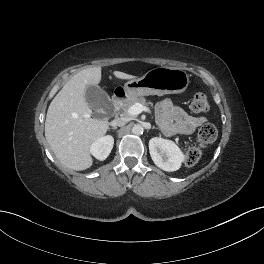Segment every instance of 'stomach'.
<instances>
[{
	"label": "stomach",
	"mask_w": 264,
	"mask_h": 264,
	"mask_svg": "<svg viewBox=\"0 0 264 264\" xmlns=\"http://www.w3.org/2000/svg\"><path fill=\"white\" fill-rule=\"evenodd\" d=\"M189 85V75L182 69L157 67L144 76L125 83L123 90L128 98L183 93Z\"/></svg>",
	"instance_id": "0dacf381"
}]
</instances>
